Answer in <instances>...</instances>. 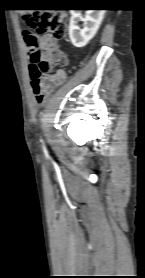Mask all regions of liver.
<instances>
[{
  "label": "liver",
  "mask_w": 145,
  "mask_h": 278,
  "mask_svg": "<svg viewBox=\"0 0 145 278\" xmlns=\"http://www.w3.org/2000/svg\"><path fill=\"white\" fill-rule=\"evenodd\" d=\"M33 10H20L21 14L31 13Z\"/></svg>",
  "instance_id": "obj_1"
}]
</instances>
